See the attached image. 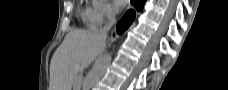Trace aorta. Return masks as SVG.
Listing matches in <instances>:
<instances>
[{
    "mask_svg": "<svg viewBox=\"0 0 228 90\" xmlns=\"http://www.w3.org/2000/svg\"><path fill=\"white\" fill-rule=\"evenodd\" d=\"M111 63V55L105 54L99 58L92 70L88 73L83 81L82 89L91 90L92 87L99 81V79L104 75L108 66Z\"/></svg>",
    "mask_w": 228,
    "mask_h": 90,
    "instance_id": "aorta-1",
    "label": "aorta"
}]
</instances>
